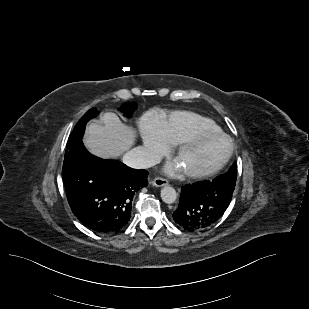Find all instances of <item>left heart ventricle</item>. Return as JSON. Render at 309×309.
Returning <instances> with one entry per match:
<instances>
[{"label":"left heart ventricle","mask_w":309,"mask_h":309,"mask_svg":"<svg viewBox=\"0 0 309 309\" xmlns=\"http://www.w3.org/2000/svg\"><path fill=\"white\" fill-rule=\"evenodd\" d=\"M228 143L222 138H205L182 151L176 161L184 171L207 170L216 165L225 155Z\"/></svg>","instance_id":"obj_1"}]
</instances>
